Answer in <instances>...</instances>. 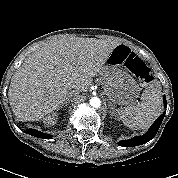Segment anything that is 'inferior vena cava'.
Returning a JSON list of instances; mask_svg holds the SVG:
<instances>
[{"instance_id":"1","label":"inferior vena cava","mask_w":178,"mask_h":178,"mask_svg":"<svg viewBox=\"0 0 178 178\" xmlns=\"http://www.w3.org/2000/svg\"><path fill=\"white\" fill-rule=\"evenodd\" d=\"M79 93H80L79 90L73 89V90L71 91V96L77 95V94H79Z\"/></svg>"}]
</instances>
